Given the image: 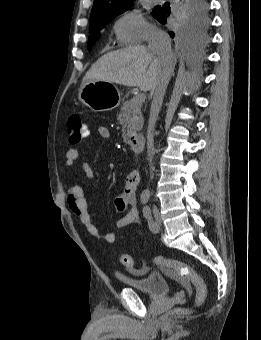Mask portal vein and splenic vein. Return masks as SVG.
Returning <instances> with one entry per match:
<instances>
[{"instance_id": "obj_1", "label": "portal vein and splenic vein", "mask_w": 261, "mask_h": 340, "mask_svg": "<svg viewBox=\"0 0 261 340\" xmlns=\"http://www.w3.org/2000/svg\"><path fill=\"white\" fill-rule=\"evenodd\" d=\"M146 95L144 93L138 94L132 99L133 105H140L145 101Z\"/></svg>"}]
</instances>
